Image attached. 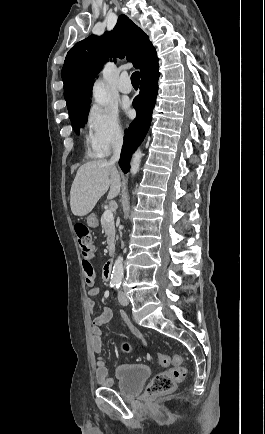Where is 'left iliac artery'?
Segmentation results:
<instances>
[{
    "label": "left iliac artery",
    "instance_id": "1",
    "mask_svg": "<svg viewBox=\"0 0 265 434\" xmlns=\"http://www.w3.org/2000/svg\"><path fill=\"white\" fill-rule=\"evenodd\" d=\"M120 287V283H118L117 285H116V289H118Z\"/></svg>",
    "mask_w": 265,
    "mask_h": 434
}]
</instances>
